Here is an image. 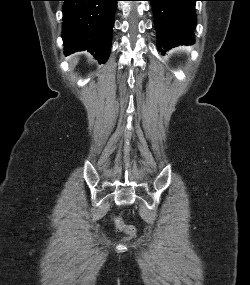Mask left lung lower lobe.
<instances>
[{
	"label": "left lung lower lobe",
	"instance_id": "obj_1",
	"mask_svg": "<svg viewBox=\"0 0 250 285\" xmlns=\"http://www.w3.org/2000/svg\"><path fill=\"white\" fill-rule=\"evenodd\" d=\"M149 1L154 13L159 50L194 43L195 2L199 0Z\"/></svg>",
	"mask_w": 250,
	"mask_h": 285
}]
</instances>
